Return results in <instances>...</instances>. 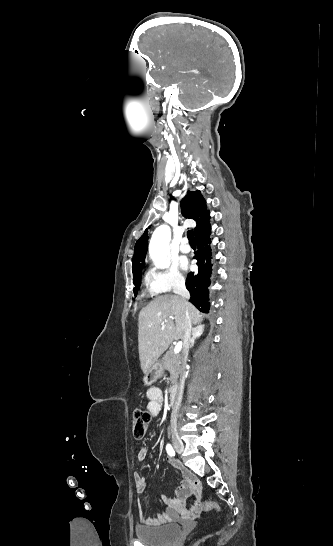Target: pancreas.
Here are the masks:
<instances>
[{
	"mask_svg": "<svg viewBox=\"0 0 333 546\" xmlns=\"http://www.w3.org/2000/svg\"><path fill=\"white\" fill-rule=\"evenodd\" d=\"M182 356L174 354V349L171 347L162 358L163 368L170 373L171 383H176L179 375L182 373L181 367Z\"/></svg>",
	"mask_w": 333,
	"mask_h": 546,
	"instance_id": "obj_1",
	"label": "pancreas"
}]
</instances>
